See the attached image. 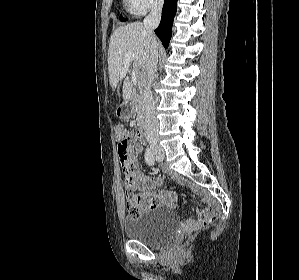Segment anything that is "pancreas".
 Instances as JSON below:
<instances>
[{"mask_svg":"<svg viewBox=\"0 0 299 280\" xmlns=\"http://www.w3.org/2000/svg\"><path fill=\"white\" fill-rule=\"evenodd\" d=\"M131 103L134 113L137 114V125H141L144 115V97L141 89L133 90L131 94Z\"/></svg>","mask_w":299,"mask_h":280,"instance_id":"pancreas-1","label":"pancreas"}]
</instances>
